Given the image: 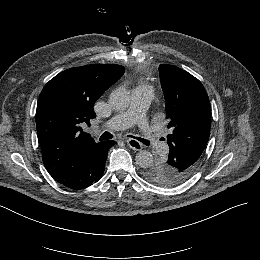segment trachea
I'll list each match as a JSON object with an SVG mask.
<instances>
[{
	"instance_id": "3493384b",
	"label": "trachea",
	"mask_w": 260,
	"mask_h": 260,
	"mask_svg": "<svg viewBox=\"0 0 260 260\" xmlns=\"http://www.w3.org/2000/svg\"><path fill=\"white\" fill-rule=\"evenodd\" d=\"M128 137H131V138H133V139H136V140L140 141L141 143H143V144L146 145V146H149V145H150V140H147V139H144V138H141V137H135V136H132V135H128ZM112 138H113V135H112V134H110L109 132H104V133L100 136L99 140H100V141H105V140H110V139H112Z\"/></svg>"
}]
</instances>
